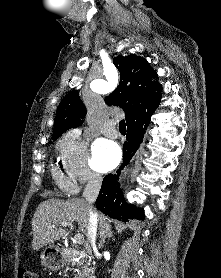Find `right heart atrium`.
<instances>
[{"label": "right heart atrium", "instance_id": "1", "mask_svg": "<svg viewBox=\"0 0 221 278\" xmlns=\"http://www.w3.org/2000/svg\"><path fill=\"white\" fill-rule=\"evenodd\" d=\"M62 164L75 183L93 184L100 175L92 166L87 141L79 130L66 133L58 144Z\"/></svg>", "mask_w": 221, "mask_h": 278}]
</instances>
